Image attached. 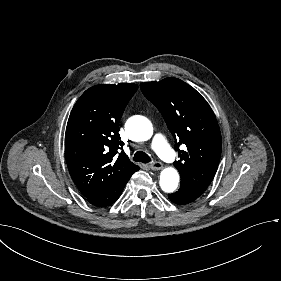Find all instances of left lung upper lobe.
<instances>
[{"label":"left lung upper lobe","instance_id":"left-lung-upper-lobe-1","mask_svg":"<svg viewBox=\"0 0 281 281\" xmlns=\"http://www.w3.org/2000/svg\"><path fill=\"white\" fill-rule=\"evenodd\" d=\"M145 97L163 115L176 138L181 186L202 194L217 171L222 139L216 117L207 101L190 85L177 79L140 85ZM184 145V150L179 146Z\"/></svg>","mask_w":281,"mask_h":281}]
</instances>
